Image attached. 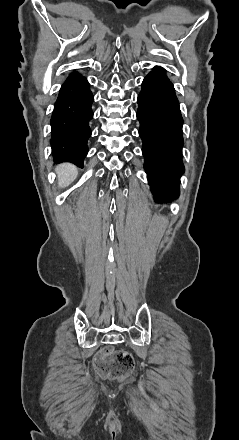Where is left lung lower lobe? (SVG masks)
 Wrapping results in <instances>:
<instances>
[{
	"label": "left lung lower lobe",
	"instance_id": "obj_1",
	"mask_svg": "<svg viewBox=\"0 0 239 440\" xmlns=\"http://www.w3.org/2000/svg\"><path fill=\"white\" fill-rule=\"evenodd\" d=\"M137 102L144 168L152 193L156 201L174 200L184 172L183 119L173 84L162 67L145 77Z\"/></svg>",
	"mask_w": 239,
	"mask_h": 440
}]
</instances>
